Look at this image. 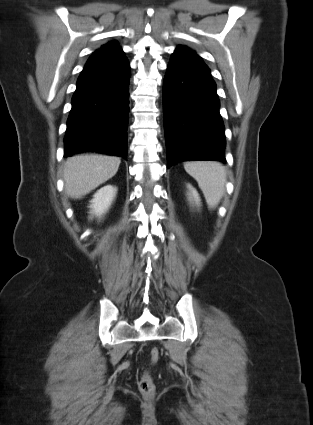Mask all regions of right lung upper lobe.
<instances>
[{
    "label": "right lung upper lobe",
    "mask_w": 313,
    "mask_h": 425,
    "mask_svg": "<svg viewBox=\"0 0 313 425\" xmlns=\"http://www.w3.org/2000/svg\"><path fill=\"white\" fill-rule=\"evenodd\" d=\"M92 56H104V57H116L124 58V52L116 41L108 42L107 44L101 46L99 50H96Z\"/></svg>",
    "instance_id": "right-lung-upper-lobe-1"
}]
</instances>
